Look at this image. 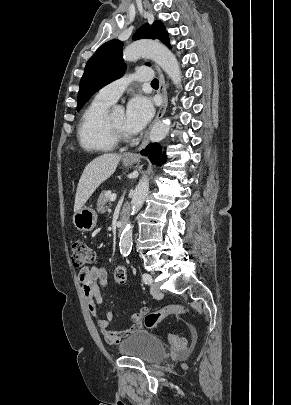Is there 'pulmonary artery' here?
Here are the masks:
<instances>
[{"instance_id": "obj_1", "label": "pulmonary artery", "mask_w": 291, "mask_h": 405, "mask_svg": "<svg viewBox=\"0 0 291 405\" xmlns=\"http://www.w3.org/2000/svg\"><path fill=\"white\" fill-rule=\"evenodd\" d=\"M154 78V73L150 68H140L135 73L117 79L99 90L96 97L114 103L123 93L125 88L133 81L146 82Z\"/></svg>"}]
</instances>
